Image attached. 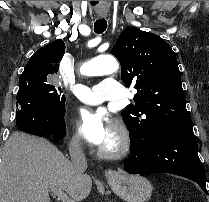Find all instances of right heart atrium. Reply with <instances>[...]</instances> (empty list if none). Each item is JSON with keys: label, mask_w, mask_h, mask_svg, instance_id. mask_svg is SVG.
<instances>
[{"label": "right heart atrium", "mask_w": 209, "mask_h": 202, "mask_svg": "<svg viewBox=\"0 0 209 202\" xmlns=\"http://www.w3.org/2000/svg\"><path fill=\"white\" fill-rule=\"evenodd\" d=\"M68 142H69V146L72 149H78L82 145V139H81L80 135L75 131L70 133L69 138H68ZM65 169L71 175L78 174L77 170L73 166H71L70 164H67Z\"/></svg>", "instance_id": "1"}]
</instances>
